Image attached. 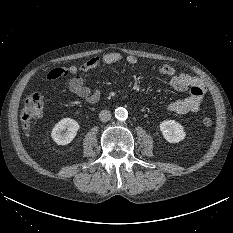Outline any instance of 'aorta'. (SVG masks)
Returning <instances> with one entry per match:
<instances>
[{
	"label": "aorta",
	"instance_id": "obj_1",
	"mask_svg": "<svg viewBox=\"0 0 233 233\" xmlns=\"http://www.w3.org/2000/svg\"><path fill=\"white\" fill-rule=\"evenodd\" d=\"M128 116V112L125 108L123 107H118L116 110H115V117L116 119L118 120H125Z\"/></svg>",
	"mask_w": 233,
	"mask_h": 233
}]
</instances>
